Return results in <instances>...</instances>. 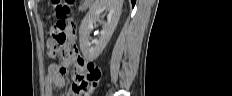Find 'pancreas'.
Instances as JSON below:
<instances>
[{
  "label": "pancreas",
  "mask_w": 232,
  "mask_h": 96,
  "mask_svg": "<svg viewBox=\"0 0 232 96\" xmlns=\"http://www.w3.org/2000/svg\"><path fill=\"white\" fill-rule=\"evenodd\" d=\"M89 6H90V3H88V4H82V5H80L79 10L84 11V10H86Z\"/></svg>",
  "instance_id": "1"
}]
</instances>
